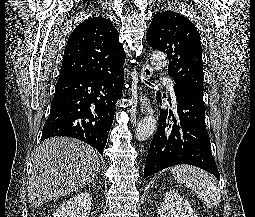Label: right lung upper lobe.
I'll list each match as a JSON object with an SVG mask.
<instances>
[{
  "instance_id": "right-lung-upper-lobe-1",
  "label": "right lung upper lobe",
  "mask_w": 255,
  "mask_h": 217,
  "mask_svg": "<svg viewBox=\"0 0 255 217\" xmlns=\"http://www.w3.org/2000/svg\"><path fill=\"white\" fill-rule=\"evenodd\" d=\"M125 58L119 33L110 20L89 18L69 36L59 78L119 73L123 71Z\"/></svg>"
}]
</instances>
